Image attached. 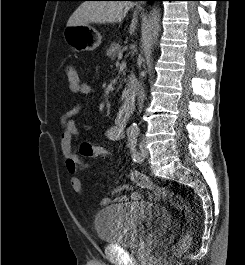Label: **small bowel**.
<instances>
[{"label":"small bowel","mask_w":245,"mask_h":265,"mask_svg":"<svg viewBox=\"0 0 245 265\" xmlns=\"http://www.w3.org/2000/svg\"><path fill=\"white\" fill-rule=\"evenodd\" d=\"M95 92V89L88 83L81 82L77 93L82 95H91ZM83 109L81 103L76 104L72 109L67 111L61 118L62 133H61V150L65 159V167L67 172L71 175L70 186L72 190L78 194L83 193V185L81 179L77 176L79 171L85 170L90 167V164L84 161L76 152L74 141L78 137V127L73 120V116L77 115ZM104 134L110 141H118L123 138L124 131L123 126L120 124L110 125L105 128ZM123 192H130L129 195H123ZM141 195L132 190V187L128 184H122L116 186L110 191V197L103 198L100 202V206L109 205L111 202H126L128 200L138 201ZM151 200H158L160 196L153 192L149 194Z\"/></svg>","instance_id":"1"}]
</instances>
